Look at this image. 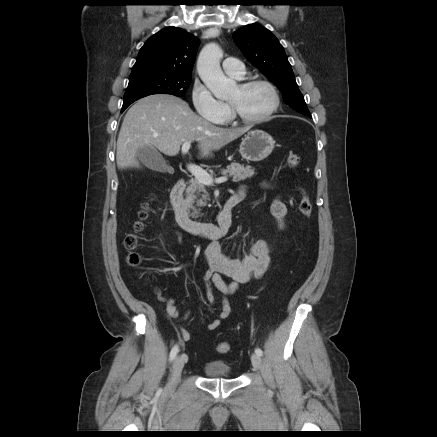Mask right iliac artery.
Instances as JSON below:
<instances>
[{
    "label": "right iliac artery",
    "instance_id": "1",
    "mask_svg": "<svg viewBox=\"0 0 437 437\" xmlns=\"http://www.w3.org/2000/svg\"><path fill=\"white\" fill-rule=\"evenodd\" d=\"M178 351H179V346H178V345H175V346L171 349V352H170V361H173V360L175 359V357H176Z\"/></svg>",
    "mask_w": 437,
    "mask_h": 437
}]
</instances>
